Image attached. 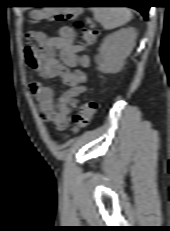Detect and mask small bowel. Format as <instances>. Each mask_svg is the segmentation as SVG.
Returning <instances> with one entry per match:
<instances>
[{
    "mask_svg": "<svg viewBox=\"0 0 170 231\" xmlns=\"http://www.w3.org/2000/svg\"><path fill=\"white\" fill-rule=\"evenodd\" d=\"M75 31L61 26L57 36L49 37L41 32L30 34L37 47L25 48V60L29 69L46 80L59 79L67 90L55 101V92L49 85L30 84V91L38 102L43 120L51 122L57 130H64L78 98L86 92V74L81 68L89 65L86 49L75 44Z\"/></svg>",
    "mask_w": 170,
    "mask_h": 231,
    "instance_id": "small-bowel-1",
    "label": "small bowel"
}]
</instances>
